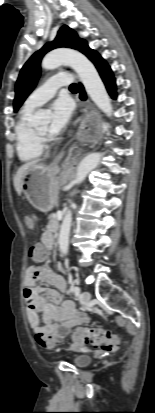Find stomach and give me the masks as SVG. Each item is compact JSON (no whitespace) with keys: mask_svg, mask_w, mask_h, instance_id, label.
I'll use <instances>...</instances> for the list:
<instances>
[{"mask_svg":"<svg viewBox=\"0 0 155 413\" xmlns=\"http://www.w3.org/2000/svg\"><path fill=\"white\" fill-rule=\"evenodd\" d=\"M56 168L44 164L30 167L22 178L21 191L37 209L48 212L57 204L59 185L66 176H56Z\"/></svg>","mask_w":155,"mask_h":413,"instance_id":"obj_1","label":"stomach"}]
</instances>
